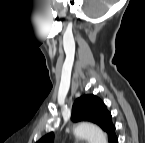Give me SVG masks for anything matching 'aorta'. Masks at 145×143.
<instances>
[{"mask_svg": "<svg viewBox=\"0 0 145 143\" xmlns=\"http://www.w3.org/2000/svg\"><path fill=\"white\" fill-rule=\"evenodd\" d=\"M75 136L87 139L89 143H107L104 132L93 124L79 123L73 130Z\"/></svg>", "mask_w": 145, "mask_h": 143, "instance_id": "obj_1", "label": "aorta"}]
</instances>
